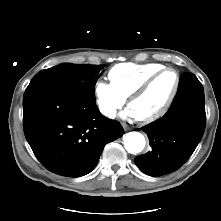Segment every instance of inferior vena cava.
Returning a JSON list of instances; mask_svg holds the SVG:
<instances>
[{
  "mask_svg": "<svg viewBox=\"0 0 221 221\" xmlns=\"http://www.w3.org/2000/svg\"><path fill=\"white\" fill-rule=\"evenodd\" d=\"M106 115L109 117H114L115 116V111H106Z\"/></svg>",
  "mask_w": 221,
  "mask_h": 221,
  "instance_id": "1",
  "label": "inferior vena cava"
}]
</instances>
